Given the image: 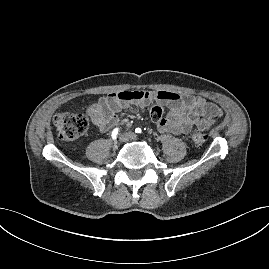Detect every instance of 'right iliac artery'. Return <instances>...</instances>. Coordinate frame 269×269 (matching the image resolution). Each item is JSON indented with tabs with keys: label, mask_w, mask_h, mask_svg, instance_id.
I'll return each mask as SVG.
<instances>
[{
	"label": "right iliac artery",
	"mask_w": 269,
	"mask_h": 269,
	"mask_svg": "<svg viewBox=\"0 0 269 269\" xmlns=\"http://www.w3.org/2000/svg\"><path fill=\"white\" fill-rule=\"evenodd\" d=\"M118 132H119V129L118 128H115L113 131H112V138L115 140L117 138V135H118Z\"/></svg>",
	"instance_id": "right-iliac-artery-1"
}]
</instances>
